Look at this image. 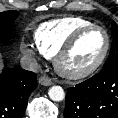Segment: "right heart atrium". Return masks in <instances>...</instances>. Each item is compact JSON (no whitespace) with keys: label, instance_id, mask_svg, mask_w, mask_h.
<instances>
[{"label":"right heart atrium","instance_id":"1","mask_svg":"<svg viewBox=\"0 0 118 118\" xmlns=\"http://www.w3.org/2000/svg\"><path fill=\"white\" fill-rule=\"evenodd\" d=\"M22 51L28 56H35V51L29 46H23Z\"/></svg>","mask_w":118,"mask_h":118}]
</instances>
